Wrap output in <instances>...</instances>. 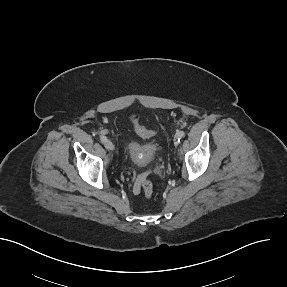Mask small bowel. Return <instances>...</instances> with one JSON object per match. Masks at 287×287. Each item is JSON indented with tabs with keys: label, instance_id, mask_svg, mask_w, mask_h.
Returning <instances> with one entry per match:
<instances>
[{
	"label": "small bowel",
	"instance_id": "small-bowel-1",
	"mask_svg": "<svg viewBox=\"0 0 287 287\" xmlns=\"http://www.w3.org/2000/svg\"><path fill=\"white\" fill-rule=\"evenodd\" d=\"M134 190H135V192H138V191H139L137 187H136Z\"/></svg>",
	"mask_w": 287,
	"mask_h": 287
}]
</instances>
